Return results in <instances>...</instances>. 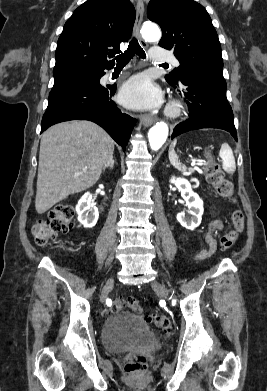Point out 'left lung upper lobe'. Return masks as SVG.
Wrapping results in <instances>:
<instances>
[{
    "label": "left lung upper lobe",
    "mask_w": 267,
    "mask_h": 391,
    "mask_svg": "<svg viewBox=\"0 0 267 391\" xmlns=\"http://www.w3.org/2000/svg\"><path fill=\"white\" fill-rule=\"evenodd\" d=\"M147 16L162 29L159 45L180 62L165 78L177 85L191 74L223 77L221 45L205 8L193 0H151Z\"/></svg>",
    "instance_id": "5c2ea615"
}]
</instances>
